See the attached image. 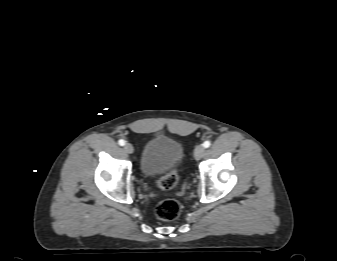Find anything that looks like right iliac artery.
<instances>
[{
  "label": "right iliac artery",
  "instance_id": "right-iliac-artery-1",
  "mask_svg": "<svg viewBox=\"0 0 337 261\" xmlns=\"http://www.w3.org/2000/svg\"><path fill=\"white\" fill-rule=\"evenodd\" d=\"M118 143H119L120 146H124L125 145V141L123 139H120L118 141Z\"/></svg>",
  "mask_w": 337,
  "mask_h": 261
}]
</instances>
